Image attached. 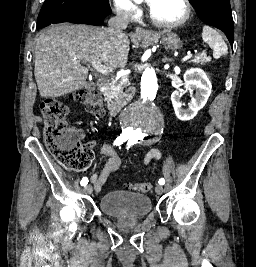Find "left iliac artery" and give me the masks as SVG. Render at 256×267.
<instances>
[{
    "mask_svg": "<svg viewBox=\"0 0 256 267\" xmlns=\"http://www.w3.org/2000/svg\"><path fill=\"white\" fill-rule=\"evenodd\" d=\"M134 144H136V142L135 141H133L132 139H129V141H128V147H127V149L131 146V145H134ZM159 184H161V185H164L165 184V180H164V178H161V179H159Z\"/></svg>",
    "mask_w": 256,
    "mask_h": 267,
    "instance_id": "1",
    "label": "left iliac artery"
}]
</instances>
